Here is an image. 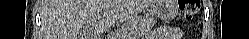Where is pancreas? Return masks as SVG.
I'll return each mask as SVG.
<instances>
[{
	"label": "pancreas",
	"instance_id": "cf45deb5",
	"mask_svg": "<svg viewBox=\"0 0 249 39\" xmlns=\"http://www.w3.org/2000/svg\"><path fill=\"white\" fill-rule=\"evenodd\" d=\"M156 20L152 17H135L128 23L124 24L119 39H127L131 36H143L150 32L155 26Z\"/></svg>",
	"mask_w": 249,
	"mask_h": 39
}]
</instances>
